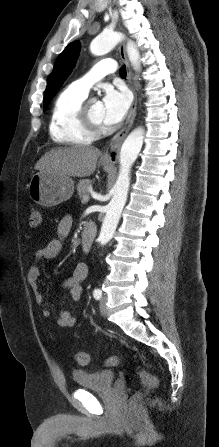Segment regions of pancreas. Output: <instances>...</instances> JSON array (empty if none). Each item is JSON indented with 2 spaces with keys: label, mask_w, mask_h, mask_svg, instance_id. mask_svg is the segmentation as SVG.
I'll list each match as a JSON object with an SVG mask.
<instances>
[{
  "label": "pancreas",
  "mask_w": 219,
  "mask_h": 447,
  "mask_svg": "<svg viewBox=\"0 0 219 447\" xmlns=\"http://www.w3.org/2000/svg\"><path fill=\"white\" fill-rule=\"evenodd\" d=\"M92 181L89 179H82L77 184V192L79 198H83L85 195H88V189L91 185Z\"/></svg>",
  "instance_id": "obj_1"
}]
</instances>
